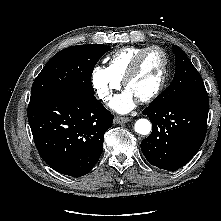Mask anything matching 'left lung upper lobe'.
Here are the masks:
<instances>
[{"label": "left lung upper lobe", "instance_id": "5c2ea615", "mask_svg": "<svg viewBox=\"0 0 221 221\" xmlns=\"http://www.w3.org/2000/svg\"><path fill=\"white\" fill-rule=\"evenodd\" d=\"M176 70L173 81L150 104H161L185 98L208 99L201 75L187 55L176 45L173 46Z\"/></svg>", "mask_w": 221, "mask_h": 221}]
</instances>
